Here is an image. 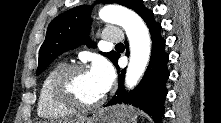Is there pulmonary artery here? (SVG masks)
<instances>
[{
    "label": "pulmonary artery",
    "instance_id": "1",
    "mask_svg": "<svg viewBox=\"0 0 221 123\" xmlns=\"http://www.w3.org/2000/svg\"><path fill=\"white\" fill-rule=\"evenodd\" d=\"M103 39L109 43H120L123 40V34L119 28H108L103 32Z\"/></svg>",
    "mask_w": 221,
    "mask_h": 123
}]
</instances>
